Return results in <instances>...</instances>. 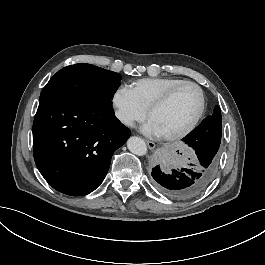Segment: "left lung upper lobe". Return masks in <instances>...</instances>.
I'll use <instances>...</instances> for the list:
<instances>
[{"label": "left lung upper lobe", "instance_id": "obj_1", "mask_svg": "<svg viewBox=\"0 0 265 265\" xmlns=\"http://www.w3.org/2000/svg\"><path fill=\"white\" fill-rule=\"evenodd\" d=\"M198 127H202L205 131L211 132L210 134L221 135L222 116L220 108L216 106L212 115L205 118Z\"/></svg>", "mask_w": 265, "mask_h": 265}]
</instances>
